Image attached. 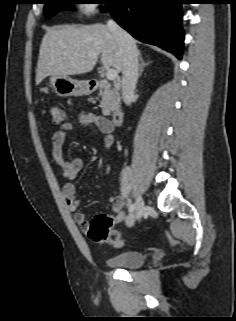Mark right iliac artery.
<instances>
[{
    "instance_id": "obj_1",
    "label": "right iliac artery",
    "mask_w": 236,
    "mask_h": 321,
    "mask_svg": "<svg viewBox=\"0 0 236 321\" xmlns=\"http://www.w3.org/2000/svg\"><path fill=\"white\" fill-rule=\"evenodd\" d=\"M135 209V205L134 204H130L129 206V212L132 213Z\"/></svg>"
}]
</instances>
